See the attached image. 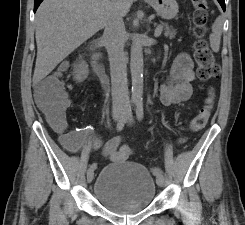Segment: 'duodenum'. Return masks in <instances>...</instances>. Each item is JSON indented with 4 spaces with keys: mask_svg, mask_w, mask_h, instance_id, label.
Here are the masks:
<instances>
[{
    "mask_svg": "<svg viewBox=\"0 0 245 225\" xmlns=\"http://www.w3.org/2000/svg\"><path fill=\"white\" fill-rule=\"evenodd\" d=\"M90 58H91V69L94 73L101 74V71L99 69V60L101 58V55L99 51L97 50L96 44H91L90 45Z\"/></svg>",
    "mask_w": 245,
    "mask_h": 225,
    "instance_id": "obj_1",
    "label": "duodenum"
}]
</instances>
